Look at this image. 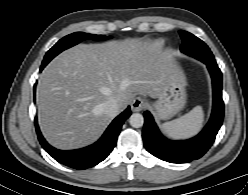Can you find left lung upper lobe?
I'll return each mask as SVG.
<instances>
[{
    "instance_id": "5c2ea615",
    "label": "left lung upper lobe",
    "mask_w": 248,
    "mask_h": 195,
    "mask_svg": "<svg viewBox=\"0 0 248 195\" xmlns=\"http://www.w3.org/2000/svg\"><path fill=\"white\" fill-rule=\"evenodd\" d=\"M179 33L182 38L181 51L183 53L200 61H203L202 58H200L202 53L207 55L209 58L214 59L209 47L202 40L187 31L180 30Z\"/></svg>"
}]
</instances>
